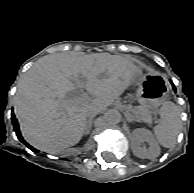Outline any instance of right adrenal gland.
<instances>
[{"mask_svg": "<svg viewBox=\"0 0 194 193\" xmlns=\"http://www.w3.org/2000/svg\"><path fill=\"white\" fill-rule=\"evenodd\" d=\"M92 120L93 118H90L88 121H87V127H86V134H88L91 130V126H92Z\"/></svg>", "mask_w": 194, "mask_h": 193, "instance_id": "right-adrenal-gland-1", "label": "right adrenal gland"}]
</instances>
